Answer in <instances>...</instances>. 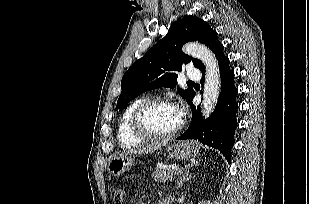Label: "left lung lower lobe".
<instances>
[{"mask_svg": "<svg viewBox=\"0 0 309 204\" xmlns=\"http://www.w3.org/2000/svg\"><path fill=\"white\" fill-rule=\"evenodd\" d=\"M221 75V93L212 115L203 119L201 108L192 103L193 94L188 104L192 111L189 128L177 139H195L210 147L218 149L230 161L234 144V131L237 127L236 113L238 89L234 85V73L229 67V59L224 54L223 46L216 55ZM205 72V69L202 71ZM203 82V79H202Z\"/></svg>", "mask_w": 309, "mask_h": 204, "instance_id": "obj_1", "label": "left lung lower lobe"}]
</instances>
